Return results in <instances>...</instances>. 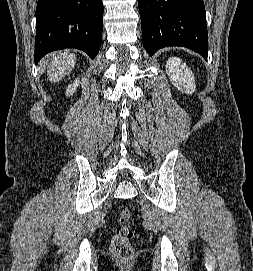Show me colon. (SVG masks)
Masks as SVG:
<instances>
[{"instance_id":"5ec220e1","label":"colon","mask_w":253,"mask_h":271,"mask_svg":"<svg viewBox=\"0 0 253 271\" xmlns=\"http://www.w3.org/2000/svg\"><path fill=\"white\" fill-rule=\"evenodd\" d=\"M132 213L129 209H123L119 212V225L115 229L111 241L112 252L116 258L127 261L133 256V247L131 242L135 238V232L129 227Z\"/></svg>"}]
</instances>
